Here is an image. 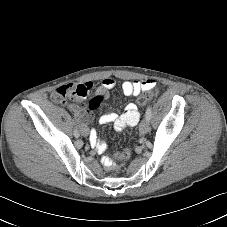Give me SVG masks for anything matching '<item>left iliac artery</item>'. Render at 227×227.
Masks as SVG:
<instances>
[{
  "mask_svg": "<svg viewBox=\"0 0 227 227\" xmlns=\"http://www.w3.org/2000/svg\"><path fill=\"white\" fill-rule=\"evenodd\" d=\"M152 113V108H151V106L149 105L148 107H147V109H146V114H145V118H147L148 120H150L151 119V114Z\"/></svg>",
  "mask_w": 227,
  "mask_h": 227,
  "instance_id": "obj_1",
  "label": "left iliac artery"
}]
</instances>
